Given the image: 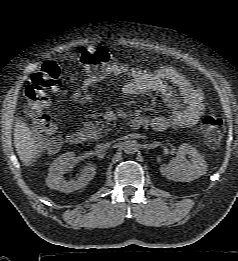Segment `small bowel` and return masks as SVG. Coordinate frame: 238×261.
<instances>
[{"label":"small bowel","instance_id":"c3829d8e","mask_svg":"<svg viewBox=\"0 0 238 261\" xmlns=\"http://www.w3.org/2000/svg\"><path fill=\"white\" fill-rule=\"evenodd\" d=\"M126 75L129 80L123 86L126 95L136 96L141 94L158 93L163 102L171 110L169 117L156 115L150 120V125L155 131H164L168 127L175 128L192 127L197 124L202 116L205 106L203 92L177 69L164 66L155 71H149L141 67H130L125 63H113L101 75L87 77L81 89L73 93L72 99L82 103H89L93 96L86 93L88 89L102 82L107 76ZM172 84L179 92L183 105L170 91L166 84Z\"/></svg>","mask_w":238,"mask_h":261}]
</instances>
